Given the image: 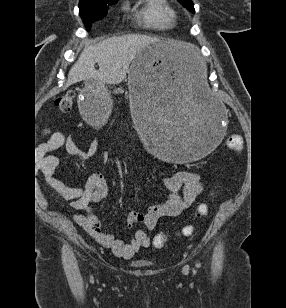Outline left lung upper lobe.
<instances>
[{"instance_id": "5c2ea615", "label": "left lung upper lobe", "mask_w": 286, "mask_h": 308, "mask_svg": "<svg viewBox=\"0 0 286 308\" xmlns=\"http://www.w3.org/2000/svg\"><path fill=\"white\" fill-rule=\"evenodd\" d=\"M185 8H187L190 12L194 13V4L192 0H178Z\"/></svg>"}]
</instances>
